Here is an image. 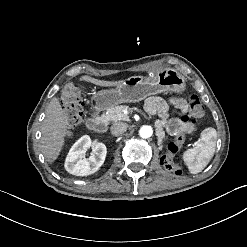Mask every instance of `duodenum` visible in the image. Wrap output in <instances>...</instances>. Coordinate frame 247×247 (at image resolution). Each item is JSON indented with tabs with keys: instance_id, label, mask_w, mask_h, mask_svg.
I'll return each instance as SVG.
<instances>
[{
	"instance_id": "duodenum-1",
	"label": "duodenum",
	"mask_w": 247,
	"mask_h": 247,
	"mask_svg": "<svg viewBox=\"0 0 247 247\" xmlns=\"http://www.w3.org/2000/svg\"><path fill=\"white\" fill-rule=\"evenodd\" d=\"M87 127L92 131H95L98 133H104L107 130V123L105 119L103 118V116L95 113L89 117L87 121Z\"/></svg>"
}]
</instances>
